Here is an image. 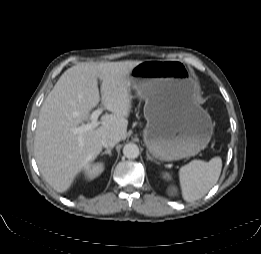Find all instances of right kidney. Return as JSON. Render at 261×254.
Here are the masks:
<instances>
[{"mask_svg": "<svg viewBox=\"0 0 261 254\" xmlns=\"http://www.w3.org/2000/svg\"><path fill=\"white\" fill-rule=\"evenodd\" d=\"M85 177L88 180H93L97 176H99L104 170V164L102 162H97L92 165H88L85 167Z\"/></svg>", "mask_w": 261, "mask_h": 254, "instance_id": "ca27d5eb", "label": "right kidney"}]
</instances>
